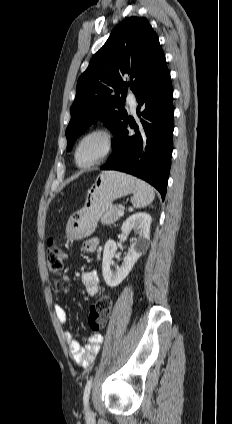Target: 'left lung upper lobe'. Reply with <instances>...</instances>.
Here are the masks:
<instances>
[{"instance_id": "obj_1", "label": "left lung upper lobe", "mask_w": 232, "mask_h": 424, "mask_svg": "<svg viewBox=\"0 0 232 424\" xmlns=\"http://www.w3.org/2000/svg\"><path fill=\"white\" fill-rule=\"evenodd\" d=\"M163 58L158 36L148 20L125 18L78 79L66 129L67 151L97 119L117 137L127 119L119 94L123 99L128 86L135 93Z\"/></svg>"}]
</instances>
